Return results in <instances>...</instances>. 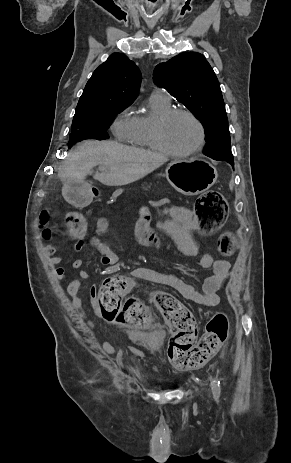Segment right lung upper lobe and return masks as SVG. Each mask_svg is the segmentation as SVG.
<instances>
[{
  "instance_id": "right-lung-upper-lobe-1",
  "label": "right lung upper lobe",
  "mask_w": 291,
  "mask_h": 463,
  "mask_svg": "<svg viewBox=\"0 0 291 463\" xmlns=\"http://www.w3.org/2000/svg\"><path fill=\"white\" fill-rule=\"evenodd\" d=\"M141 73L126 55L113 53L92 74L75 115L95 110L106 102L133 103L139 93Z\"/></svg>"
}]
</instances>
